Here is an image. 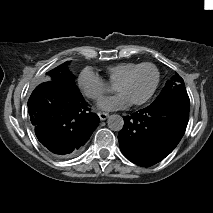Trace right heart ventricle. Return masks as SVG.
Wrapping results in <instances>:
<instances>
[{
	"label": "right heart ventricle",
	"mask_w": 213,
	"mask_h": 213,
	"mask_svg": "<svg viewBox=\"0 0 213 213\" xmlns=\"http://www.w3.org/2000/svg\"><path fill=\"white\" fill-rule=\"evenodd\" d=\"M141 64L142 63L136 62H120L106 67L105 74L108 79V82L114 85L121 77H123L131 69Z\"/></svg>",
	"instance_id": "1"
}]
</instances>
